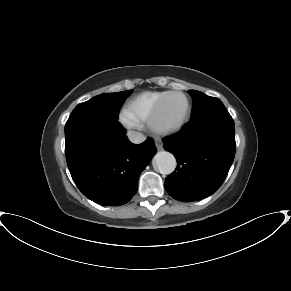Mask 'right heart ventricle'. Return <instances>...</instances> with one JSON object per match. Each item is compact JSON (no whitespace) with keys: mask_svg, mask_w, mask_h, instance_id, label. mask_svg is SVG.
<instances>
[{"mask_svg":"<svg viewBox=\"0 0 291 291\" xmlns=\"http://www.w3.org/2000/svg\"><path fill=\"white\" fill-rule=\"evenodd\" d=\"M169 91H146L130 97L125 103L126 112L136 121H147L158 101Z\"/></svg>","mask_w":291,"mask_h":291,"instance_id":"1","label":"right heart ventricle"}]
</instances>
